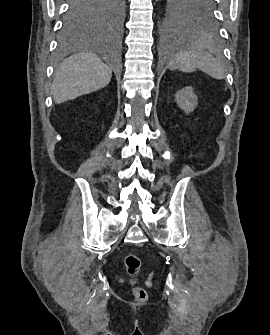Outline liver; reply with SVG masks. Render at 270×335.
Instances as JSON below:
<instances>
[{"label": "liver", "instance_id": "liver-1", "mask_svg": "<svg viewBox=\"0 0 270 335\" xmlns=\"http://www.w3.org/2000/svg\"><path fill=\"white\" fill-rule=\"evenodd\" d=\"M112 70L92 52L75 54L58 68L51 86L56 104L91 94L109 84Z\"/></svg>", "mask_w": 270, "mask_h": 335}]
</instances>
